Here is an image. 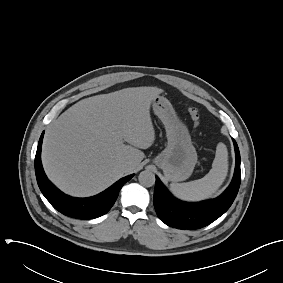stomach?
Wrapping results in <instances>:
<instances>
[{
  "mask_svg": "<svg viewBox=\"0 0 283 283\" xmlns=\"http://www.w3.org/2000/svg\"><path fill=\"white\" fill-rule=\"evenodd\" d=\"M154 113L164 124L167 147L153 162L163 170L166 180L178 182L192 174L197 153L192 145L187 126L179 119L172 104L163 96L153 100Z\"/></svg>",
  "mask_w": 283,
  "mask_h": 283,
  "instance_id": "0dacf381",
  "label": "stomach"
}]
</instances>
